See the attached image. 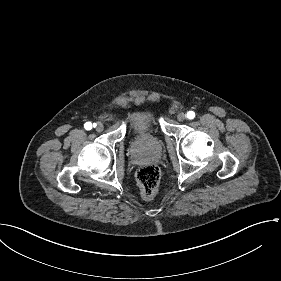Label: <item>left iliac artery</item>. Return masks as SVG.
Returning a JSON list of instances; mask_svg holds the SVG:
<instances>
[{"label":"left iliac artery","instance_id":"obj_1","mask_svg":"<svg viewBox=\"0 0 281 281\" xmlns=\"http://www.w3.org/2000/svg\"><path fill=\"white\" fill-rule=\"evenodd\" d=\"M187 117H188L189 119H193V118L195 117V113H194L193 111H189V112L187 113Z\"/></svg>","mask_w":281,"mask_h":281}]
</instances>
